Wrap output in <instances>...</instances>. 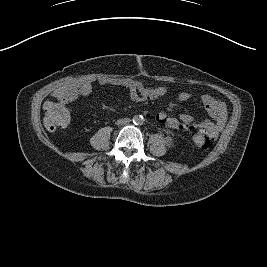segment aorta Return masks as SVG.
I'll return each mask as SVG.
<instances>
[{
  "mask_svg": "<svg viewBox=\"0 0 267 267\" xmlns=\"http://www.w3.org/2000/svg\"><path fill=\"white\" fill-rule=\"evenodd\" d=\"M134 122H135L136 124H142V123H143V118L140 117V116H136V117L134 118Z\"/></svg>",
  "mask_w": 267,
  "mask_h": 267,
  "instance_id": "obj_1",
  "label": "aorta"
}]
</instances>
